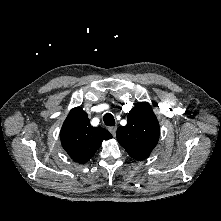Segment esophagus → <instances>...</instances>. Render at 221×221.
Instances as JSON below:
<instances>
[{"mask_svg": "<svg viewBox=\"0 0 221 221\" xmlns=\"http://www.w3.org/2000/svg\"><path fill=\"white\" fill-rule=\"evenodd\" d=\"M109 131L112 134V136L115 137L116 136L117 127L116 126L115 127H111V128H109Z\"/></svg>", "mask_w": 221, "mask_h": 221, "instance_id": "34e87169", "label": "esophagus"}]
</instances>
